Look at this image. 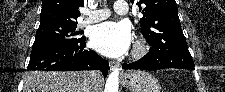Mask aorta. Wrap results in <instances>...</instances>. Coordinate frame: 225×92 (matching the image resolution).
<instances>
[{"mask_svg": "<svg viewBox=\"0 0 225 92\" xmlns=\"http://www.w3.org/2000/svg\"><path fill=\"white\" fill-rule=\"evenodd\" d=\"M119 86V71L116 69L112 71L105 84V92H118Z\"/></svg>", "mask_w": 225, "mask_h": 92, "instance_id": "obj_1", "label": "aorta"}]
</instances>
